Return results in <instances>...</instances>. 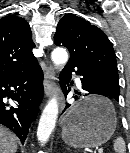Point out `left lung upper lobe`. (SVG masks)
Masks as SVG:
<instances>
[{
    "instance_id": "obj_1",
    "label": "left lung upper lobe",
    "mask_w": 130,
    "mask_h": 153,
    "mask_svg": "<svg viewBox=\"0 0 130 153\" xmlns=\"http://www.w3.org/2000/svg\"><path fill=\"white\" fill-rule=\"evenodd\" d=\"M54 42L70 51L69 62L94 68L113 92L119 95L115 52L107 36L96 26L74 14L60 19Z\"/></svg>"
}]
</instances>
